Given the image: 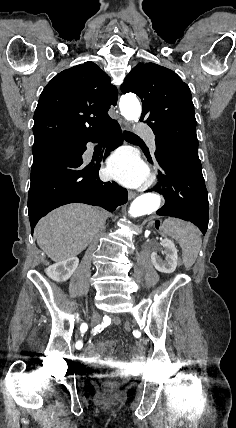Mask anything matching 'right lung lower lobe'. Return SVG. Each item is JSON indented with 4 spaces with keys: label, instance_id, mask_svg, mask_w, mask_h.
Returning <instances> with one entry per match:
<instances>
[{
    "label": "right lung lower lobe",
    "instance_id": "obj_1",
    "mask_svg": "<svg viewBox=\"0 0 236 428\" xmlns=\"http://www.w3.org/2000/svg\"><path fill=\"white\" fill-rule=\"evenodd\" d=\"M70 154H52L34 161L28 193V214L31 233L40 218L51 210L69 203H85L114 211L125 204L127 190L115 182L99 180L100 165H83L82 154L88 142H104L101 159L122 145L121 128L117 121L108 124L84 137L69 138Z\"/></svg>",
    "mask_w": 236,
    "mask_h": 428
}]
</instances>
